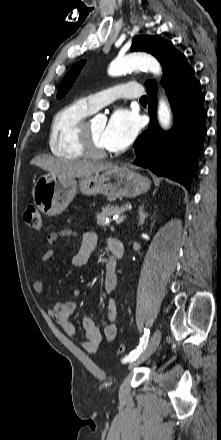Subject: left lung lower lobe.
<instances>
[{"mask_svg": "<svg viewBox=\"0 0 221 440\" xmlns=\"http://www.w3.org/2000/svg\"><path fill=\"white\" fill-rule=\"evenodd\" d=\"M163 72V84L173 111L174 126L169 132L160 129L156 120V85L150 82L146 87L151 122L134 143L137 155L134 164L190 189L206 134L204 96L193 68L178 51L168 55Z\"/></svg>", "mask_w": 221, "mask_h": 440, "instance_id": "obj_1", "label": "left lung lower lobe"}]
</instances>
